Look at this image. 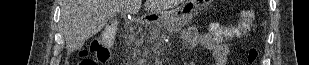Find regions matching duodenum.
Returning <instances> with one entry per match:
<instances>
[{"label":"duodenum","mask_w":309,"mask_h":65,"mask_svg":"<svg viewBox=\"0 0 309 65\" xmlns=\"http://www.w3.org/2000/svg\"><path fill=\"white\" fill-rule=\"evenodd\" d=\"M150 21L149 17H140L138 19V24L145 25Z\"/></svg>","instance_id":"obj_1"}]
</instances>
